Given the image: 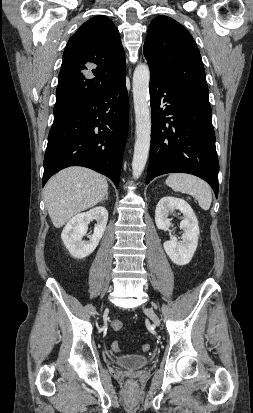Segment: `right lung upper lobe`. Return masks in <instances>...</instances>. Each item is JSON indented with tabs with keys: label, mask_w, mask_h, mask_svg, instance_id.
<instances>
[{
	"label": "right lung upper lobe",
	"mask_w": 253,
	"mask_h": 413,
	"mask_svg": "<svg viewBox=\"0 0 253 413\" xmlns=\"http://www.w3.org/2000/svg\"><path fill=\"white\" fill-rule=\"evenodd\" d=\"M125 69L118 29L106 16L91 18L81 25L65 47L54 114L102 93L125 77ZM83 70H88L87 77Z\"/></svg>",
	"instance_id": "1"
}]
</instances>
